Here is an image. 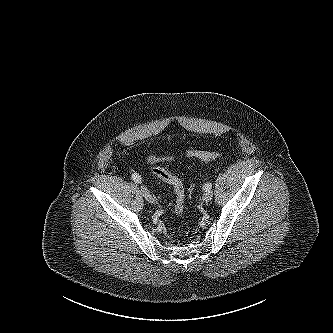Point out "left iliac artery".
<instances>
[{
    "label": "left iliac artery",
    "mask_w": 333,
    "mask_h": 333,
    "mask_svg": "<svg viewBox=\"0 0 333 333\" xmlns=\"http://www.w3.org/2000/svg\"><path fill=\"white\" fill-rule=\"evenodd\" d=\"M212 188V184L211 183H207V184H205L204 186H203V190H205V191H208V190H210Z\"/></svg>",
    "instance_id": "44dca946"
}]
</instances>
